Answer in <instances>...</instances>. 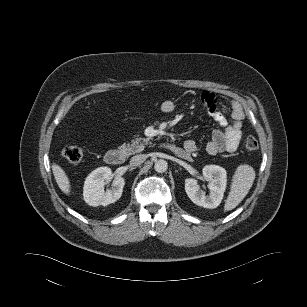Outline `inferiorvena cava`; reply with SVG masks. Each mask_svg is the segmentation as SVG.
Wrapping results in <instances>:
<instances>
[{"mask_svg":"<svg viewBox=\"0 0 307 307\" xmlns=\"http://www.w3.org/2000/svg\"><path fill=\"white\" fill-rule=\"evenodd\" d=\"M147 156L145 154L135 155L130 160V165L138 166L146 160Z\"/></svg>","mask_w":307,"mask_h":307,"instance_id":"602c4592","label":"inferior vena cava"}]
</instances>
